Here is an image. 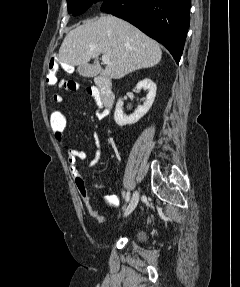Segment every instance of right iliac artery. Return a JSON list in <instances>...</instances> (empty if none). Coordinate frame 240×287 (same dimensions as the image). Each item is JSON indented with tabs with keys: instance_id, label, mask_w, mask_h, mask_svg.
<instances>
[{
	"instance_id": "obj_1",
	"label": "right iliac artery",
	"mask_w": 240,
	"mask_h": 287,
	"mask_svg": "<svg viewBox=\"0 0 240 287\" xmlns=\"http://www.w3.org/2000/svg\"><path fill=\"white\" fill-rule=\"evenodd\" d=\"M125 200H126V202H128L130 200V192L129 191L126 193Z\"/></svg>"
}]
</instances>
